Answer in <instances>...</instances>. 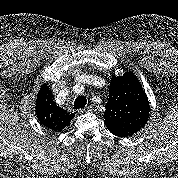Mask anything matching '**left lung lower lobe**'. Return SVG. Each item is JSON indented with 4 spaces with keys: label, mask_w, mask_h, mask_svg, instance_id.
Here are the masks:
<instances>
[{
    "label": "left lung lower lobe",
    "mask_w": 178,
    "mask_h": 178,
    "mask_svg": "<svg viewBox=\"0 0 178 178\" xmlns=\"http://www.w3.org/2000/svg\"><path fill=\"white\" fill-rule=\"evenodd\" d=\"M107 128L109 129V131L111 133H113L114 135L119 136V137H128V136L133 135L132 133L123 131L121 129H117V128H113V127H107Z\"/></svg>",
    "instance_id": "left-lung-lower-lobe-1"
}]
</instances>
